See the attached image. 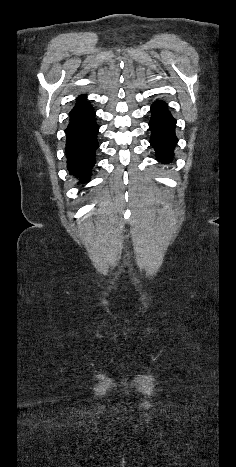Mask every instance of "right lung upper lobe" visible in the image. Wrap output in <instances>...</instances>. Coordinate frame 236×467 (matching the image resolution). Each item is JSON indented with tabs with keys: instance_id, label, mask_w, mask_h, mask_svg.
I'll return each instance as SVG.
<instances>
[{
	"instance_id": "cb5924a9",
	"label": "right lung upper lobe",
	"mask_w": 236,
	"mask_h": 467,
	"mask_svg": "<svg viewBox=\"0 0 236 467\" xmlns=\"http://www.w3.org/2000/svg\"><path fill=\"white\" fill-rule=\"evenodd\" d=\"M85 101H86L85 96H84V95H80V96L77 98L76 106L79 105V104L84 103Z\"/></svg>"
}]
</instances>
